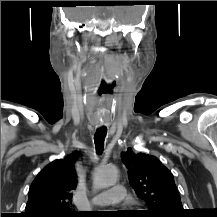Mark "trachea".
<instances>
[{
	"label": "trachea",
	"instance_id": "trachea-1",
	"mask_svg": "<svg viewBox=\"0 0 217 217\" xmlns=\"http://www.w3.org/2000/svg\"><path fill=\"white\" fill-rule=\"evenodd\" d=\"M106 134V127H101L96 130V133L94 135V143L98 154H101L104 150V139L106 137Z\"/></svg>",
	"mask_w": 217,
	"mask_h": 217
}]
</instances>
